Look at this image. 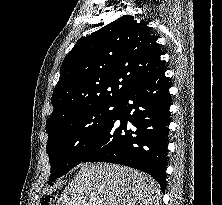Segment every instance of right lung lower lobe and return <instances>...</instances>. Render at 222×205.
I'll list each match as a JSON object with an SVG mask.
<instances>
[{
  "label": "right lung lower lobe",
  "instance_id": "1",
  "mask_svg": "<svg viewBox=\"0 0 222 205\" xmlns=\"http://www.w3.org/2000/svg\"><path fill=\"white\" fill-rule=\"evenodd\" d=\"M166 68L131 88L82 161L111 162L150 174L166 188L171 106Z\"/></svg>",
  "mask_w": 222,
  "mask_h": 205
}]
</instances>
